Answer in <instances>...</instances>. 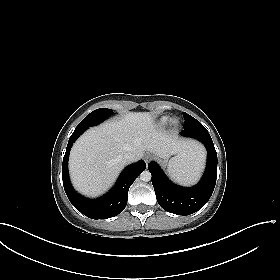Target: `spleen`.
<instances>
[{
  "instance_id": "3e777b00",
  "label": "spleen",
  "mask_w": 280,
  "mask_h": 280,
  "mask_svg": "<svg viewBox=\"0 0 280 280\" xmlns=\"http://www.w3.org/2000/svg\"><path fill=\"white\" fill-rule=\"evenodd\" d=\"M204 152L194 156H177L168 165L170 176L177 182L190 184L195 182L204 166Z\"/></svg>"
}]
</instances>
